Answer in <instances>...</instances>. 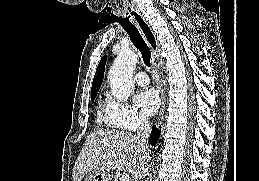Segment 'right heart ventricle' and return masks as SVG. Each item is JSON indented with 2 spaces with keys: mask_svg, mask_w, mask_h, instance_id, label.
<instances>
[{
  "mask_svg": "<svg viewBox=\"0 0 259 181\" xmlns=\"http://www.w3.org/2000/svg\"><path fill=\"white\" fill-rule=\"evenodd\" d=\"M97 120H98L99 123H105L106 125L113 127L108 122L107 111L105 110V108L102 104H100L99 107H98Z\"/></svg>",
  "mask_w": 259,
  "mask_h": 181,
  "instance_id": "1",
  "label": "right heart ventricle"
}]
</instances>
